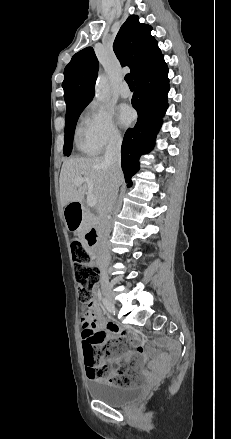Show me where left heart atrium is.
I'll list each match as a JSON object with an SVG mask.
<instances>
[{
    "label": "left heart atrium",
    "instance_id": "obj_1",
    "mask_svg": "<svg viewBox=\"0 0 231 439\" xmlns=\"http://www.w3.org/2000/svg\"><path fill=\"white\" fill-rule=\"evenodd\" d=\"M134 119L133 111L126 105L118 108V120L122 126H128Z\"/></svg>",
    "mask_w": 231,
    "mask_h": 439
}]
</instances>
